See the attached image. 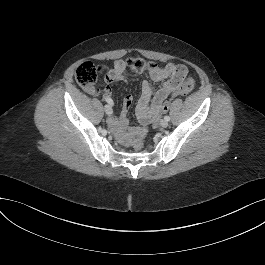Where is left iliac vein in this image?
<instances>
[{"label": "left iliac vein", "instance_id": "1", "mask_svg": "<svg viewBox=\"0 0 265 265\" xmlns=\"http://www.w3.org/2000/svg\"><path fill=\"white\" fill-rule=\"evenodd\" d=\"M160 125L162 126V127H167L168 126V121L167 120H165V119H162L161 121H160Z\"/></svg>", "mask_w": 265, "mask_h": 265}]
</instances>
